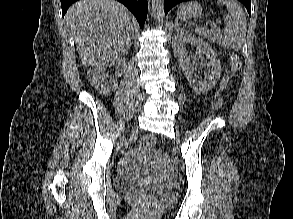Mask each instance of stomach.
I'll return each mask as SVG.
<instances>
[{"instance_id":"1","label":"stomach","mask_w":293,"mask_h":219,"mask_svg":"<svg viewBox=\"0 0 293 219\" xmlns=\"http://www.w3.org/2000/svg\"><path fill=\"white\" fill-rule=\"evenodd\" d=\"M202 13L201 5L196 1L187 2L178 8L177 15L182 20L197 18Z\"/></svg>"}]
</instances>
